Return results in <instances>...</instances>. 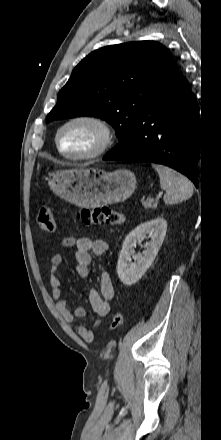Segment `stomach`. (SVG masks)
I'll list each match as a JSON object with an SVG mask.
<instances>
[{"instance_id":"1","label":"stomach","mask_w":221,"mask_h":440,"mask_svg":"<svg viewBox=\"0 0 221 440\" xmlns=\"http://www.w3.org/2000/svg\"><path fill=\"white\" fill-rule=\"evenodd\" d=\"M47 181L56 195L83 208L122 202L131 196L137 184L134 173L128 169L59 170L50 173Z\"/></svg>"}]
</instances>
